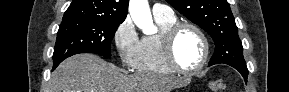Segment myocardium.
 <instances>
[{
    "instance_id": "f54148a6",
    "label": "myocardium",
    "mask_w": 289,
    "mask_h": 92,
    "mask_svg": "<svg viewBox=\"0 0 289 92\" xmlns=\"http://www.w3.org/2000/svg\"><path fill=\"white\" fill-rule=\"evenodd\" d=\"M184 29H192L202 40L204 51L201 62L193 69L182 68L176 61L174 45L179 33ZM161 50L167 66L176 73L192 75L200 72L207 64L210 55V43L205 32L196 24L190 22H177L167 28L161 36Z\"/></svg>"
}]
</instances>
